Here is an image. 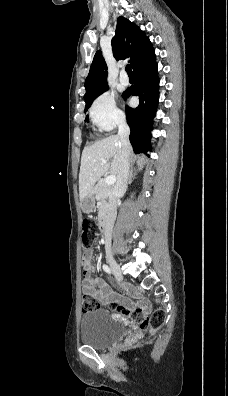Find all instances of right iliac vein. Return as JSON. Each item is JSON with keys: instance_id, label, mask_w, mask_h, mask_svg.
Returning <instances> with one entry per match:
<instances>
[{"instance_id": "63e3f726", "label": "right iliac vein", "mask_w": 228, "mask_h": 396, "mask_svg": "<svg viewBox=\"0 0 228 396\" xmlns=\"http://www.w3.org/2000/svg\"><path fill=\"white\" fill-rule=\"evenodd\" d=\"M107 261H108L114 275L116 276V278L122 279L123 278L122 271L120 269V266L116 262V260L113 257L108 256Z\"/></svg>"}]
</instances>
